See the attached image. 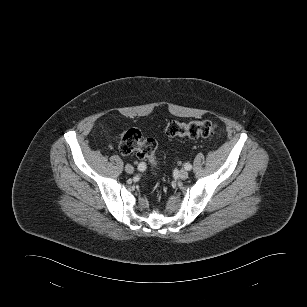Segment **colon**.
<instances>
[{"mask_svg": "<svg viewBox=\"0 0 307 307\" xmlns=\"http://www.w3.org/2000/svg\"><path fill=\"white\" fill-rule=\"evenodd\" d=\"M216 126L209 120L181 122L169 121L164 132L170 137L207 138L213 136ZM118 149L124 155L135 153L140 159L156 164L157 142L153 138H144L137 129H128L117 137Z\"/></svg>", "mask_w": 307, "mask_h": 307, "instance_id": "obj_1", "label": "colon"}]
</instances>
